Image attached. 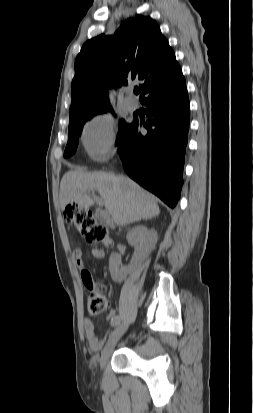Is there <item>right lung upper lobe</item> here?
Masks as SVG:
<instances>
[{"instance_id": "1", "label": "right lung upper lobe", "mask_w": 253, "mask_h": 413, "mask_svg": "<svg viewBox=\"0 0 253 413\" xmlns=\"http://www.w3.org/2000/svg\"><path fill=\"white\" fill-rule=\"evenodd\" d=\"M132 81L139 82L141 103L185 86L172 48L148 16L130 18L113 36L84 43L75 60L70 120L110 106L108 89Z\"/></svg>"}]
</instances>
